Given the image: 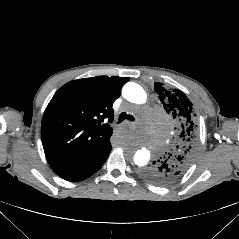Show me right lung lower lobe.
<instances>
[{
	"label": "right lung lower lobe",
	"instance_id": "98d812e1",
	"mask_svg": "<svg viewBox=\"0 0 239 239\" xmlns=\"http://www.w3.org/2000/svg\"><path fill=\"white\" fill-rule=\"evenodd\" d=\"M111 149L112 146L110 144V140H108L86 159L58 173V175L67 181H82L93 175L101 168Z\"/></svg>",
	"mask_w": 239,
	"mask_h": 239
}]
</instances>
